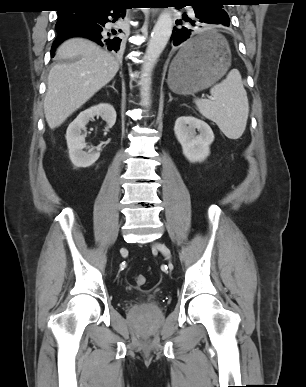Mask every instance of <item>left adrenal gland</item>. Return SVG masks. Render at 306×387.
<instances>
[{"mask_svg":"<svg viewBox=\"0 0 306 387\" xmlns=\"http://www.w3.org/2000/svg\"><path fill=\"white\" fill-rule=\"evenodd\" d=\"M173 100L172 96L169 94V102Z\"/></svg>","mask_w":306,"mask_h":387,"instance_id":"1","label":"left adrenal gland"}]
</instances>
